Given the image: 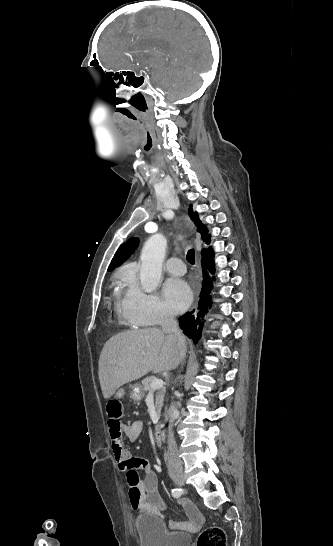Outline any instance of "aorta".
<instances>
[{
	"mask_svg": "<svg viewBox=\"0 0 333 546\" xmlns=\"http://www.w3.org/2000/svg\"><path fill=\"white\" fill-rule=\"evenodd\" d=\"M166 247V238L156 233L146 241L142 249L140 283L145 292L154 291L160 282Z\"/></svg>",
	"mask_w": 333,
	"mask_h": 546,
	"instance_id": "obj_1",
	"label": "aorta"
}]
</instances>
